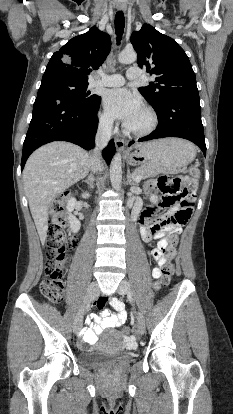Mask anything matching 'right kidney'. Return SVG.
Listing matches in <instances>:
<instances>
[{
  "label": "right kidney",
  "instance_id": "ca27d5eb",
  "mask_svg": "<svg viewBox=\"0 0 233 414\" xmlns=\"http://www.w3.org/2000/svg\"><path fill=\"white\" fill-rule=\"evenodd\" d=\"M82 197L85 198V199L89 198L90 194L89 193H83ZM75 206H76V199L75 198L69 199L68 203H67V207H66L67 211H68V214H69V225H70L71 230L74 233H77L80 230L81 223H80L79 220L76 219L75 216H73L71 214L72 211L75 209Z\"/></svg>",
  "mask_w": 233,
  "mask_h": 414
}]
</instances>
